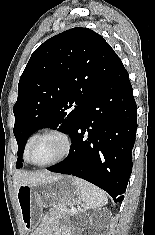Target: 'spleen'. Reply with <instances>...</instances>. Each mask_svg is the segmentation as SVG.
<instances>
[{
  "mask_svg": "<svg viewBox=\"0 0 155 235\" xmlns=\"http://www.w3.org/2000/svg\"><path fill=\"white\" fill-rule=\"evenodd\" d=\"M74 182L80 190L81 200L86 208L96 209L108 203L106 194L93 184L80 178H74Z\"/></svg>",
  "mask_w": 155,
  "mask_h": 235,
  "instance_id": "3e777b00",
  "label": "spleen"
}]
</instances>
